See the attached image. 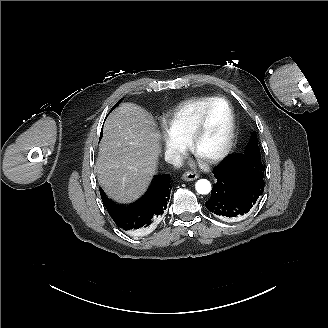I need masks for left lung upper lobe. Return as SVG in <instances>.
<instances>
[{"label":"left lung upper lobe","instance_id":"obj_1","mask_svg":"<svg viewBox=\"0 0 328 328\" xmlns=\"http://www.w3.org/2000/svg\"><path fill=\"white\" fill-rule=\"evenodd\" d=\"M259 151L260 150L257 143V135L254 133L243 155L247 157H253V156H257L259 154Z\"/></svg>","mask_w":328,"mask_h":328}]
</instances>
